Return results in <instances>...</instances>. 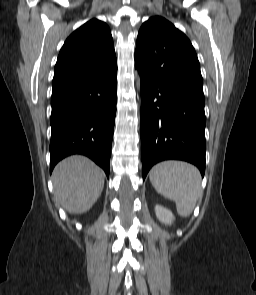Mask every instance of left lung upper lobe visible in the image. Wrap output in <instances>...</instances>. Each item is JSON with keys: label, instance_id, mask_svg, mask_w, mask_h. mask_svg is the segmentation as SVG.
<instances>
[{"label": "left lung upper lobe", "instance_id": "obj_1", "mask_svg": "<svg viewBox=\"0 0 256 295\" xmlns=\"http://www.w3.org/2000/svg\"><path fill=\"white\" fill-rule=\"evenodd\" d=\"M135 65L159 84L204 100L196 52L189 39L166 19L155 16L142 25Z\"/></svg>", "mask_w": 256, "mask_h": 295}]
</instances>
